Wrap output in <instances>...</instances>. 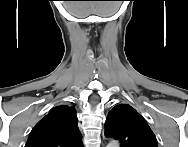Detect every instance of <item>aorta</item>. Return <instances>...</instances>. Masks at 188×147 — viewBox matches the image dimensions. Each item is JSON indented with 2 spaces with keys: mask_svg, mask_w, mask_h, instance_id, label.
Returning <instances> with one entry per match:
<instances>
[{
  "mask_svg": "<svg viewBox=\"0 0 188 147\" xmlns=\"http://www.w3.org/2000/svg\"><path fill=\"white\" fill-rule=\"evenodd\" d=\"M109 147H117L118 144L115 142V141H111L109 144H108Z\"/></svg>",
  "mask_w": 188,
  "mask_h": 147,
  "instance_id": "1",
  "label": "aorta"
}]
</instances>
